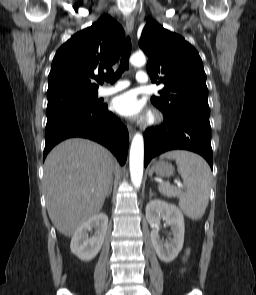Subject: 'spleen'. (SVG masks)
<instances>
[{
	"mask_svg": "<svg viewBox=\"0 0 256 295\" xmlns=\"http://www.w3.org/2000/svg\"><path fill=\"white\" fill-rule=\"evenodd\" d=\"M160 158L176 161L186 192L181 188L165 182L159 184L158 190L167 197H178L179 207L191 219L202 218L209 202L211 171L206 161L192 152L175 150L164 153Z\"/></svg>",
	"mask_w": 256,
	"mask_h": 295,
	"instance_id": "obj_1",
	"label": "spleen"
}]
</instances>
